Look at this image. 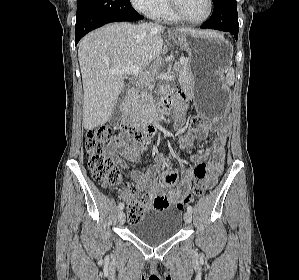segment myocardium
<instances>
[{
	"mask_svg": "<svg viewBox=\"0 0 299 280\" xmlns=\"http://www.w3.org/2000/svg\"><path fill=\"white\" fill-rule=\"evenodd\" d=\"M208 2V10L206 15L198 20H193L188 18L181 10L178 0H167L168 6L171 12L181 21L190 23V24H202L209 19L213 11V0H207Z\"/></svg>",
	"mask_w": 299,
	"mask_h": 280,
	"instance_id": "obj_1",
	"label": "myocardium"
}]
</instances>
